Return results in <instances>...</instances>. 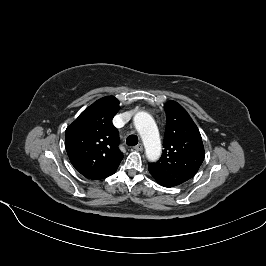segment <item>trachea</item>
Returning <instances> with one entry per match:
<instances>
[{
    "mask_svg": "<svg viewBox=\"0 0 266 266\" xmlns=\"http://www.w3.org/2000/svg\"><path fill=\"white\" fill-rule=\"evenodd\" d=\"M138 143V137L136 135H129L126 139V144L128 146H135Z\"/></svg>",
    "mask_w": 266,
    "mask_h": 266,
    "instance_id": "trachea-1",
    "label": "trachea"
}]
</instances>
